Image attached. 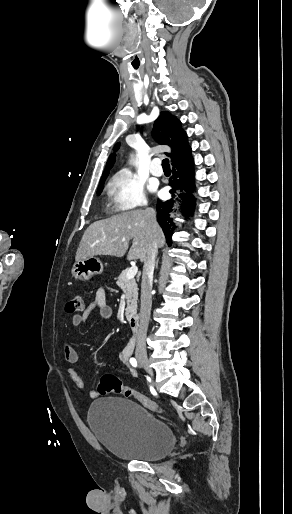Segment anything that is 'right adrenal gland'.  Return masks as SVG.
<instances>
[{
    "label": "right adrenal gland",
    "instance_id": "right-adrenal-gland-1",
    "mask_svg": "<svg viewBox=\"0 0 292 514\" xmlns=\"http://www.w3.org/2000/svg\"><path fill=\"white\" fill-rule=\"evenodd\" d=\"M158 262H159V260H157V262H156V268H158Z\"/></svg>",
    "mask_w": 292,
    "mask_h": 514
}]
</instances>
